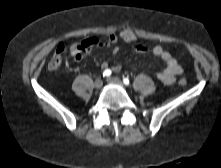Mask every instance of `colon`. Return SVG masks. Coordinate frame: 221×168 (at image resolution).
Masks as SVG:
<instances>
[{
    "mask_svg": "<svg viewBox=\"0 0 221 168\" xmlns=\"http://www.w3.org/2000/svg\"><path fill=\"white\" fill-rule=\"evenodd\" d=\"M117 39L123 40L124 42L134 43L137 40V35L134 33L133 30L123 29L117 34ZM95 43H97V40L92 39L81 45H73L70 48V53L75 59H78L80 56L84 54L85 49L88 46L93 45ZM64 52H65V46L63 44H59L48 63V68L50 70H55L61 66ZM179 84L181 86L186 85V80L181 79L179 81Z\"/></svg>",
    "mask_w": 221,
    "mask_h": 168,
    "instance_id": "1",
    "label": "colon"
}]
</instances>
